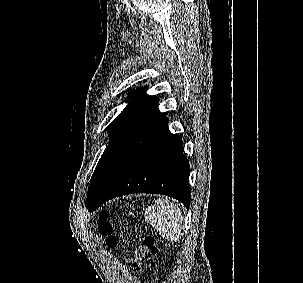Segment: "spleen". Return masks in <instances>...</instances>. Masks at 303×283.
Segmentation results:
<instances>
[{
	"instance_id": "spleen-1",
	"label": "spleen",
	"mask_w": 303,
	"mask_h": 283,
	"mask_svg": "<svg viewBox=\"0 0 303 283\" xmlns=\"http://www.w3.org/2000/svg\"><path fill=\"white\" fill-rule=\"evenodd\" d=\"M144 217L166 239L178 241L181 238L184 229L181 210L167 198L157 199L145 210Z\"/></svg>"
}]
</instances>
